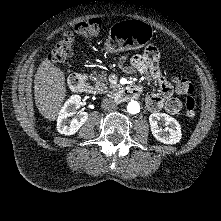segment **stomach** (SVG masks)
Masks as SVG:
<instances>
[{
    "mask_svg": "<svg viewBox=\"0 0 221 221\" xmlns=\"http://www.w3.org/2000/svg\"><path fill=\"white\" fill-rule=\"evenodd\" d=\"M154 38L153 27L142 21L124 19L115 25L105 44V50L111 53L137 51L149 45Z\"/></svg>",
    "mask_w": 221,
    "mask_h": 221,
    "instance_id": "0dacf381",
    "label": "stomach"
}]
</instances>
